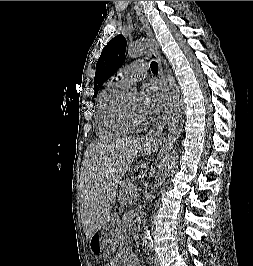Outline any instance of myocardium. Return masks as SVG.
Masks as SVG:
<instances>
[{"label":"myocardium","mask_w":253,"mask_h":266,"mask_svg":"<svg viewBox=\"0 0 253 266\" xmlns=\"http://www.w3.org/2000/svg\"><path fill=\"white\" fill-rule=\"evenodd\" d=\"M129 93H124L120 98L116 106V117L118 121L130 130H135L140 127L143 120L141 118H136L130 114L127 107V97Z\"/></svg>","instance_id":"1"}]
</instances>
